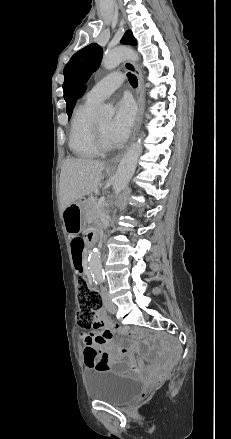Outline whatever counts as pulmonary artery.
Listing matches in <instances>:
<instances>
[{
	"label": "pulmonary artery",
	"instance_id": "obj_1",
	"mask_svg": "<svg viewBox=\"0 0 231 439\" xmlns=\"http://www.w3.org/2000/svg\"><path fill=\"white\" fill-rule=\"evenodd\" d=\"M124 82V76L120 72H113L97 82L87 93L86 98L93 102H101L107 99Z\"/></svg>",
	"mask_w": 231,
	"mask_h": 439
}]
</instances>
